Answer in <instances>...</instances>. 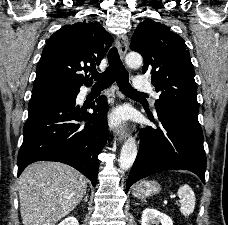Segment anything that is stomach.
<instances>
[{
	"label": "stomach",
	"instance_id": "0dacf381",
	"mask_svg": "<svg viewBox=\"0 0 228 225\" xmlns=\"http://www.w3.org/2000/svg\"><path fill=\"white\" fill-rule=\"evenodd\" d=\"M160 191L159 183H155V181H141L140 185H136L134 189V197H137V199H147V197H152V195H158Z\"/></svg>",
	"mask_w": 228,
	"mask_h": 225
}]
</instances>
